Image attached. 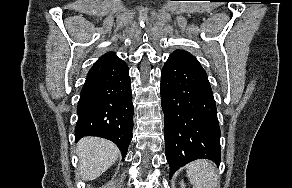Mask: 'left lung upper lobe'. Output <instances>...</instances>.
<instances>
[{
  "label": "left lung upper lobe",
  "instance_id": "left-lung-upper-lobe-1",
  "mask_svg": "<svg viewBox=\"0 0 292 188\" xmlns=\"http://www.w3.org/2000/svg\"><path fill=\"white\" fill-rule=\"evenodd\" d=\"M171 55L178 56L202 68L198 60L193 55L184 50H176Z\"/></svg>",
  "mask_w": 292,
  "mask_h": 188
}]
</instances>
